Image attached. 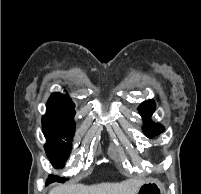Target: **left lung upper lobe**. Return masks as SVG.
Listing matches in <instances>:
<instances>
[{
  "mask_svg": "<svg viewBox=\"0 0 201 194\" xmlns=\"http://www.w3.org/2000/svg\"><path fill=\"white\" fill-rule=\"evenodd\" d=\"M154 110H155V103L153 100L143 102L139 106V112L143 116V119L146 121V124L143 127V132L148 137L159 135L164 131V127H162L160 124H155L150 120V117L153 114Z\"/></svg>",
  "mask_w": 201,
  "mask_h": 194,
  "instance_id": "obj_1",
  "label": "left lung upper lobe"
}]
</instances>
